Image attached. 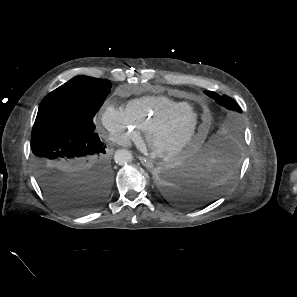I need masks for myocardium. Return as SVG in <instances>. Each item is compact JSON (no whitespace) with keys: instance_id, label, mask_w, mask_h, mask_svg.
<instances>
[{"instance_id":"1","label":"myocardium","mask_w":297,"mask_h":297,"mask_svg":"<svg viewBox=\"0 0 297 297\" xmlns=\"http://www.w3.org/2000/svg\"><path fill=\"white\" fill-rule=\"evenodd\" d=\"M186 113H193L197 116V121L195 125L193 126L192 130L190 133L187 135V137L178 143L177 145L167 148V149H162L158 148L154 144V137L155 135L160 132L162 129H164L168 123L174 121L175 119L181 117L182 115ZM200 125H201V117L199 113L191 106L188 105L182 109L165 113L162 116H160L157 120H155L146 130L145 132V139L146 143L152 153L155 157L167 161L170 160L177 155L181 154L197 137L199 130H200Z\"/></svg>"}]
</instances>
